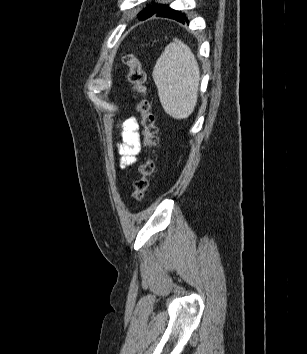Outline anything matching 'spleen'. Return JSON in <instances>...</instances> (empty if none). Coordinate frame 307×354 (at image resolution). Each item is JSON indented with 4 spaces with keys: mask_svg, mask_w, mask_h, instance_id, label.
I'll return each instance as SVG.
<instances>
[{
    "mask_svg": "<svg viewBox=\"0 0 307 354\" xmlns=\"http://www.w3.org/2000/svg\"><path fill=\"white\" fill-rule=\"evenodd\" d=\"M152 76L165 112L175 119L188 118L197 103L200 81L191 49L175 38L156 61Z\"/></svg>",
    "mask_w": 307,
    "mask_h": 354,
    "instance_id": "1",
    "label": "spleen"
}]
</instances>
